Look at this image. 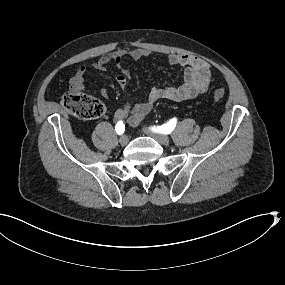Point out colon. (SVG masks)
<instances>
[{
    "label": "colon",
    "instance_id": "obj_1",
    "mask_svg": "<svg viewBox=\"0 0 285 285\" xmlns=\"http://www.w3.org/2000/svg\"><path fill=\"white\" fill-rule=\"evenodd\" d=\"M213 96L215 100L223 99L224 89H215ZM61 104L68 113L83 120L97 119L105 113V107L101 101L81 92L66 93Z\"/></svg>",
    "mask_w": 285,
    "mask_h": 285
}]
</instances>
